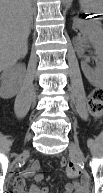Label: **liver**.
Returning a JSON list of instances; mask_svg holds the SVG:
<instances>
[{
	"instance_id": "liver-1",
	"label": "liver",
	"mask_w": 103,
	"mask_h": 193,
	"mask_svg": "<svg viewBox=\"0 0 103 193\" xmlns=\"http://www.w3.org/2000/svg\"><path fill=\"white\" fill-rule=\"evenodd\" d=\"M32 19V0L0 1L1 71L26 56Z\"/></svg>"
}]
</instances>
